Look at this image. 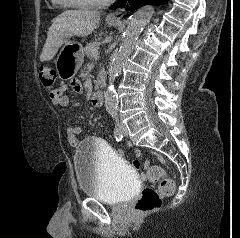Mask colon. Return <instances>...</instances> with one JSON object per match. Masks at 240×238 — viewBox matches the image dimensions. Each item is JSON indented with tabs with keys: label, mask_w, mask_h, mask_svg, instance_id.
I'll return each instance as SVG.
<instances>
[{
	"label": "colon",
	"mask_w": 240,
	"mask_h": 238,
	"mask_svg": "<svg viewBox=\"0 0 240 238\" xmlns=\"http://www.w3.org/2000/svg\"><path fill=\"white\" fill-rule=\"evenodd\" d=\"M38 77L41 84L51 87L56 79L55 71L46 65L38 68ZM149 181H159L157 189L147 187L142 190L135 204V211L138 214H146L158 209L162 203V197L170 196L175 189L174 181L166 176L164 170L159 166H152L147 169Z\"/></svg>",
	"instance_id": "obj_1"
}]
</instances>
